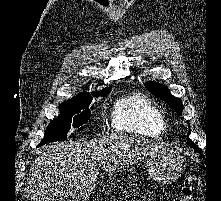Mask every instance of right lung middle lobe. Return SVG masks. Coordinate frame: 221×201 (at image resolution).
I'll list each match as a JSON object with an SVG mask.
<instances>
[{
	"mask_svg": "<svg viewBox=\"0 0 221 201\" xmlns=\"http://www.w3.org/2000/svg\"><path fill=\"white\" fill-rule=\"evenodd\" d=\"M109 92H100L93 94V96L105 97ZM91 101V95L64 101L61 106L60 115L50 123L39 146L47 142L63 141L67 138V133L71 128H78L86 123L91 115V111L88 108Z\"/></svg>",
	"mask_w": 221,
	"mask_h": 201,
	"instance_id": "obj_1",
	"label": "right lung middle lobe"
}]
</instances>
